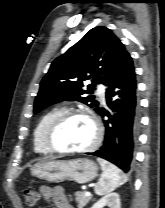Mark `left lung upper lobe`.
<instances>
[{
    "instance_id": "5c2ea615",
    "label": "left lung upper lobe",
    "mask_w": 165,
    "mask_h": 208,
    "mask_svg": "<svg viewBox=\"0 0 165 208\" xmlns=\"http://www.w3.org/2000/svg\"><path fill=\"white\" fill-rule=\"evenodd\" d=\"M129 53L121 41L104 26L88 31L65 54L56 58L40 84L34 112L64 100L80 101L99 111L91 94L96 84L108 85ZM89 81L88 90L84 82Z\"/></svg>"
}]
</instances>
